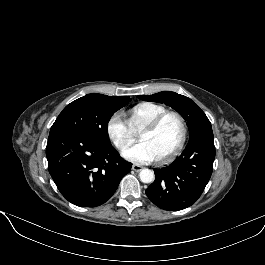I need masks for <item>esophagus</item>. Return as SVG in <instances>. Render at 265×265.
I'll return each instance as SVG.
<instances>
[{"mask_svg": "<svg viewBox=\"0 0 265 265\" xmlns=\"http://www.w3.org/2000/svg\"><path fill=\"white\" fill-rule=\"evenodd\" d=\"M142 168H143V166L138 165V164H133V165H132V170L135 171V172H139V171H141Z\"/></svg>", "mask_w": 265, "mask_h": 265, "instance_id": "34e87169", "label": "esophagus"}]
</instances>
